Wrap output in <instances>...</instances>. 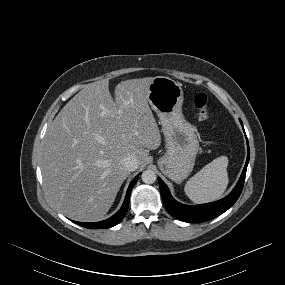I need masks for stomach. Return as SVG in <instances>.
<instances>
[{"label": "stomach", "instance_id": "obj_1", "mask_svg": "<svg viewBox=\"0 0 285 285\" xmlns=\"http://www.w3.org/2000/svg\"><path fill=\"white\" fill-rule=\"evenodd\" d=\"M183 100L179 82L165 76L153 78L148 102L160 119L166 143V152L158 165L163 174L177 183L192 172L199 151L195 129L182 113Z\"/></svg>", "mask_w": 285, "mask_h": 285}]
</instances>
